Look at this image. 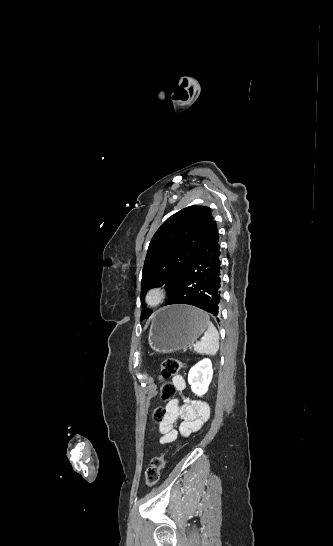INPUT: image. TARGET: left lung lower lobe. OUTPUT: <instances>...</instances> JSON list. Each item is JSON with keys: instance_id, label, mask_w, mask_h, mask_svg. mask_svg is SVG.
<instances>
[{"instance_id": "0a47b994", "label": "left lung lower lobe", "mask_w": 333, "mask_h": 546, "mask_svg": "<svg viewBox=\"0 0 333 546\" xmlns=\"http://www.w3.org/2000/svg\"><path fill=\"white\" fill-rule=\"evenodd\" d=\"M200 268H202L201 272H199ZM221 276L219 233L214 222L202 239L194 260L178 280L165 306L193 305L207 311L218 320L221 307Z\"/></svg>"}]
</instances>
